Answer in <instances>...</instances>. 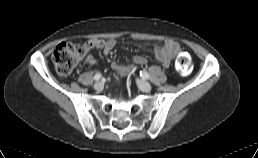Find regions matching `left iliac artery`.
<instances>
[{
  "mask_svg": "<svg viewBox=\"0 0 258 158\" xmlns=\"http://www.w3.org/2000/svg\"><path fill=\"white\" fill-rule=\"evenodd\" d=\"M140 76L145 78V79H149L150 78L149 74L145 70L140 71Z\"/></svg>",
  "mask_w": 258,
  "mask_h": 158,
  "instance_id": "obj_1",
  "label": "left iliac artery"
}]
</instances>
